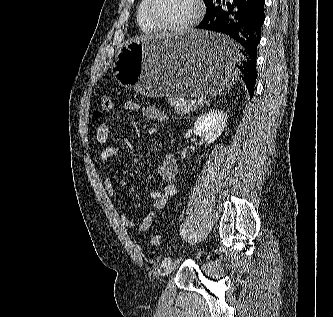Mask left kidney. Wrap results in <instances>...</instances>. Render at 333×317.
Returning <instances> with one entry per match:
<instances>
[{
  "label": "left kidney",
  "mask_w": 333,
  "mask_h": 317,
  "mask_svg": "<svg viewBox=\"0 0 333 317\" xmlns=\"http://www.w3.org/2000/svg\"><path fill=\"white\" fill-rule=\"evenodd\" d=\"M227 113L220 110H211L202 114L194 123L193 132L211 144L224 131L227 124Z\"/></svg>",
  "instance_id": "1"
}]
</instances>
